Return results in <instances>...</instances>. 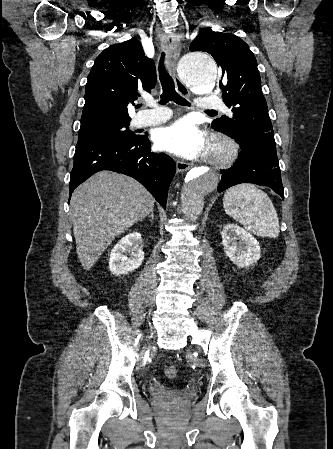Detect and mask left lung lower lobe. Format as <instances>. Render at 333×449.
Wrapping results in <instances>:
<instances>
[{
	"label": "left lung lower lobe",
	"mask_w": 333,
	"mask_h": 449,
	"mask_svg": "<svg viewBox=\"0 0 333 449\" xmlns=\"http://www.w3.org/2000/svg\"><path fill=\"white\" fill-rule=\"evenodd\" d=\"M218 192L240 183H255L272 188L284 198L278 158L265 152L248 151L241 148L235 165L221 171Z\"/></svg>",
	"instance_id": "left-lung-lower-lobe-1"
}]
</instances>
